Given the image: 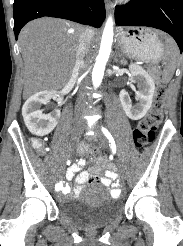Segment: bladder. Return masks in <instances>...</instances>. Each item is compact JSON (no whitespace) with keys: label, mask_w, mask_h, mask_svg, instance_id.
<instances>
[{"label":"bladder","mask_w":183,"mask_h":246,"mask_svg":"<svg viewBox=\"0 0 183 246\" xmlns=\"http://www.w3.org/2000/svg\"><path fill=\"white\" fill-rule=\"evenodd\" d=\"M121 210L119 200L112 198L100 185H92L84 195L60 205L61 215L81 227L105 225L117 217Z\"/></svg>","instance_id":"obj_1"}]
</instances>
